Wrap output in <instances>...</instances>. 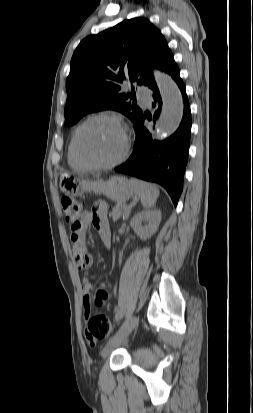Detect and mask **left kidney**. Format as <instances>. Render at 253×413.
<instances>
[{"instance_id": "obj_1", "label": "left kidney", "mask_w": 253, "mask_h": 413, "mask_svg": "<svg viewBox=\"0 0 253 413\" xmlns=\"http://www.w3.org/2000/svg\"><path fill=\"white\" fill-rule=\"evenodd\" d=\"M147 223L142 225V223ZM161 222V212L159 210L142 211L135 215L130 225L134 232L142 237L143 240L149 239L158 230Z\"/></svg>"}]
</instances>
